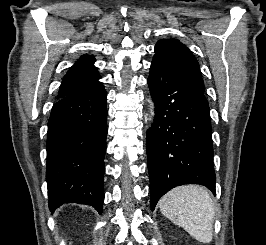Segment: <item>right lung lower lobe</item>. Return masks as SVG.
I'll return each mask as SVG.
<instances>
[{
	"label": "right lung lower lobe",
	"mask_w": 266,
	"mask_h": 245,
	"mask_svg": "<svg viewBox=\"0 0 266 245\" xmlns=\"http://www.w3.org/2000/svg\"><path fill=\"white\" fill-rule=\"evenodd\" d=\"M106 99L103 84L96 81L72 89L52 108L46 143L51 212L75 202L102 213Z\"/></svg>",
	"instance_id": "1"
}]
</instances>
